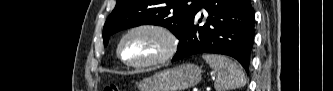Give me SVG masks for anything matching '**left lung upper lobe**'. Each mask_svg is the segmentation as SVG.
<instances>
[{"label": "left lung upper lobe", "instance_id": "5c2ea615", "mask_svg": "<svg viewBox=\"0 0 333 91\" xmlns=\"http://www.w3.org/2000/svg\"><path fill=\"white\" fill-rule=\"evenodd\" d=\"M202 0H117L103 30L104 45L109 37L126 28L154 24L168 28L178 38Z\"/></svg>", "mask_w": 333, "mask_h": 91}]
</instances>
